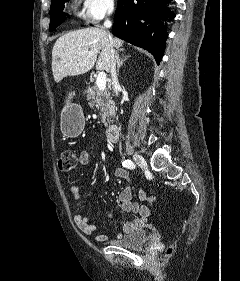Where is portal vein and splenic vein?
<instances>
[{
    "instance_id": "obj_1",
    "label": "portal vein and splenic vein",
    "mask_w": 240,
    "mask_h": 281,
    "mask_svg": "<svg viewBox=\"0 0 240 281\" xmlns=\"http://www.w3.org/2000/svg\"><path fill=\"white\" fill-rule=\"evenodd\" d=\"M96 86L100 91H104L106 89V74L104 72H100L98 74L96 79Z\"/></svg>"
}]
</instances>
